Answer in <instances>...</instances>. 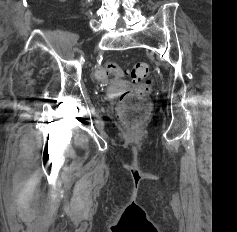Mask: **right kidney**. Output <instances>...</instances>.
Returning a JSON list of instances; mask_svg holds the SVG:
<instances>
[{"instance_id": "ca27d5eb", "label": "right kidney", "mask_w": 237, "mask_h": 232, "mask_svg": "<svg viewBox=\"0 0 237 232\" xmlns=\"http://www.w3.org/2000/svg\"><path fill=\"white\" fill-rule=\"evenodd\" d=\"M60 2H65L66 0H59Z\"/></svg>"}]
</instances>
